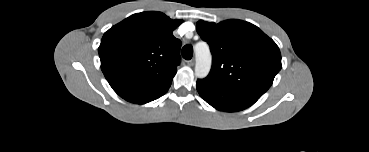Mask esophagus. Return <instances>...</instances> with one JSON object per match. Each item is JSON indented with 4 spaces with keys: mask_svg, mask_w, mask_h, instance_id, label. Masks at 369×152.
<instances>
[{
    "mask_svg": "<svg viewBox=\"0 0 369 152\" xmlns=\"http://www.w3.org/2000/svg\"><path fill=\"white\" fill-rule=\"evenodd\" d=\"M187 64H188V66H194V64H195V59L193 58V59H191V60L187 61Z\"/></svg>",
    "mask_w": 369,
    "mask_h": 152,
    "instance_id": "34e87169",
    "label": "esophagus"
}]
</instances>
